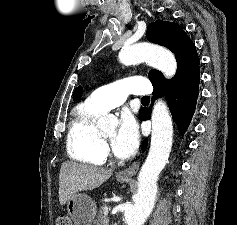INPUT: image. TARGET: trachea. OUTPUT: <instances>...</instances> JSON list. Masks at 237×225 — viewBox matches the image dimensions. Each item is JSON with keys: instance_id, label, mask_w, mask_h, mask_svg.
Instances as JSON below:
<instances>
[{"instance_id": "trachea-1", "label": "trachea", "mask_w": 237, "mask_h": 225, "mask_svg": "<svg viewBox=\"0 0 237 225\" xmlns=\"http://www.w3.org/2000/svg\"><path fill=\"white\" fill-rule=\"evenodd\" d=\"M142 101L148 102V101H150V97L149 96H144V97H142Z\"/></svg>"}]
</instances>
